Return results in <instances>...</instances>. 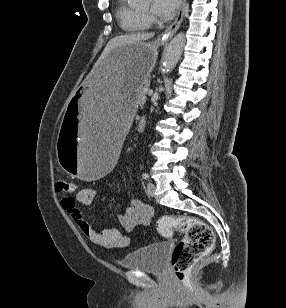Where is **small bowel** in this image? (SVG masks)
I'll list each match as a JSON object with an SVG mask.
<instances>
[{
  "label": "small bowel",
  "instance_id": "small-bowel-1",
  "mask_svg": "<svg viewBox=\"0 0 286 308\" xmlns=\"http://www.w3.org/2000/svg\"><path fill=\"white\" fill-rule=\"evenodd\" d=\"M94 196V189L82 188L76 192L75 197L63 198L61 204L71 214L82 233L96 246L105 250L127 247L130 244L128 236L123 235L117 228L97 229L87 221L77 207V204L90 205ZM152 215L150 206L138 199H131L128 206L117 214V220L122 230L130 232L136 227L148 226Z\"/></svg>",
  "mask_w": 286,
  "mask_h": 308
}]
</instances>
